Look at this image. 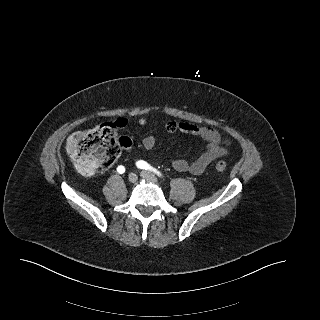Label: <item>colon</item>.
Here are the masks:
<instances>
[{
    "label": "colon",
    "mask_w": 320,
    "mask_h": 320,
    "mask_svg": "<svg viewBox=\"0 0 320 320\" xmlns=\"http://www.w3.org/2000/svg\"><path fill=\"white\" fill-rule=\"evenodd\" d=\"M132 142L129 137H117L115 125L109 122L75 132L67 140V151L75 167L85 175H93L98 169H108L117 160L120 150ZM226 163L218 161L216 170L224 172Z\"/></svg>",
    "instance_id": "colon-1"
}]
</instances>
